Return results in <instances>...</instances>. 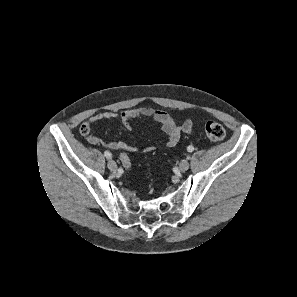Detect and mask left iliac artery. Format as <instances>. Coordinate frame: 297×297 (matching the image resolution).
I'll use <instances>...</instances> for the list:
<instances>
[{
	"label": "left iliac artery",
	"mask_w": 297,
	"mask_h": 297,
	"mask_svg": "<svg viewBox=\"0 0 297 297\" xmlns=\"http://www.w3.org/2000/svg\"><path fill=\"white\" fill-rule=\"evenodd\" d=\"M194 150V147L193 146H188L187 147V151L188 152H192ZM187 159H190V156H187Z\"/></svg>",
	"instance_id": "44dca946"
}]
</instances>
